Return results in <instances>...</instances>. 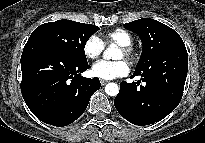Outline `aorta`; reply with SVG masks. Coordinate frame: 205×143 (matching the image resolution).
Masks as SVG:
<instances>
[{"mask_svg": "<svg viewBox=\"0 0 205 143\" xmlns=\"http://www.w3.org/2000/svg\"><path fill=\"white\" fill-rule=\"evenodd\" d=\"M115 52V49L110 46L108 47L104 54H103V57L104 59H111L113 58V54ZM105 92L106 94H108L109 96H116L119 92V87L116 83H108L106 86H105Z\"/></svg>", "mask_w": 205, "mask_h": 143, "instance_id": "aorta-1", "label": "aorta"}]
</instances>
